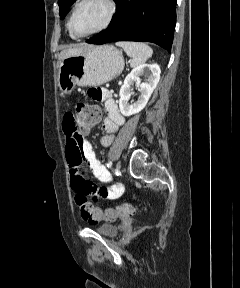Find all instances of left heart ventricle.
Instances as JSON below:
<instances>
[{
  "mask_svg": "<svg viewBox=\"0 0 240 288\" xmlns=\"http://www.w3.org/2000/svg\"><path fill=\"white\" fill-rule=\"evenodd\" d=\"M107 5L103 0H88L77 10L73 28L77 34L89 33L104 22L107 15Z\"/></svg>",
  "mask_w": 240,
  "mask_h": 288,
  "instance_id": "left-heart-ventricle-1",
  "label": "left heart ventricle"
}]
</instances>
